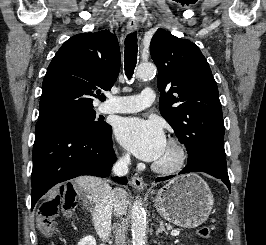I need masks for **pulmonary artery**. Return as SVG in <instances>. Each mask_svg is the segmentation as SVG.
Listing matches in <instances>:
<instances>
[{"mask_svg":"<svg viewBox=\"0 0 266 245\" xmlns=\"http://www.w3.org/2000/svg\"><path fill=\"white\" fill-rule=\"evenodd\" d=\"M141 95L127 97L110 95L108 100L101 106V111L103 113L139 112L149 107L154 101L153 91H142Z\"/></svg>","mask_w":266,"mask_h":245,"instance_id":"pulmonary-artery-1","label":"pulmonary artery"}]
</instances>
